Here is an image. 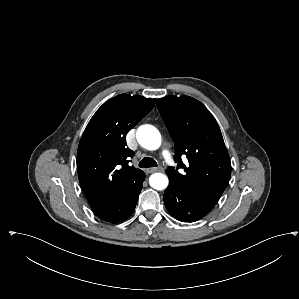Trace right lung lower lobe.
Here are the masks:
<instances>
[{"mask_svg":"<svg viewBox=\"0 0 299 299\" xmlns=\"http://www.w3.org/2000/svg\"><path fill=\"white\" fill-rule=\"evenodd\" d=\"M144 180L145 174L143 172L137 181L119 199L96 215L103 221L111 223H118L127 219L135 209Z\"/></svg>","mask_w":299,"mask_h":299,"instance_id":"right-lung-lower-lobe-1","label":"right lung lower lobe"}]
</instances>
